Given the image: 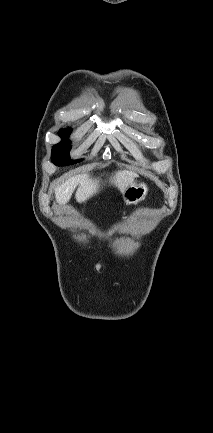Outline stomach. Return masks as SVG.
<instances>
[{"mask_svg": "<svg viewBox=\"0 0 213 433\" xmlns=\"http://www.w3.org/2000/svg\"><path fill=\"white\" fill-rule=\"evenodd\" d=\"M148 192L146 184H137L133 181L123 192L122 197L126 204H138L145 199Z\"/></svg>", "mask_w": 213, "mask_h": 433, "instance_id": "1", "label": "stomach"}]
</instances>
